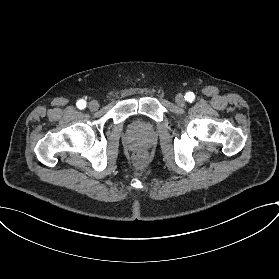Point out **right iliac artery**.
Segmentation results:
<instances>
[{
	"instance_id": "82829eb1",
	"label": "right iliac artery",
	"mask_w": 279,
	"mask_h": 279,
	"mask_svg": "<svg viewBox=\"0 0 279 279\" xmlns=\"http://www.w3.org/2000/svg\"><path fill=\"white\" fill-rule=\"evenodd\" d=\"M76 105L79 109L82 110L86 107V101L83 99H80L79 101H77Z\"/></svg>"
}]
</instances>
